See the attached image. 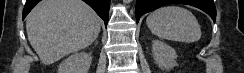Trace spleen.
Segmentation results:
<instances>
[{"label":"spleen","mask_w":244,"mask_h":73,"mask_svg":"<svg viewBox=\"0 0 244 73\" xmlns=\"http://www.w3.org/2000/svg\"><path fill=\"white\" fill-rule=\"evenodd\" d=\"M146 23L154 35L164 40L194 43L201 38L196 17L183 7H161L147 17Z\"/></svg>","instance_id":"obj_1"}]
</instances>
